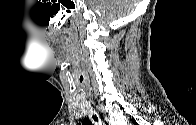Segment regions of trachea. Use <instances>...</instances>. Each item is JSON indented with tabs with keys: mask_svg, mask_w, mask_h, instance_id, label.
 Wrapping results in <instances>:
<instances>
[{
	"mask_svg": "<svg viewBox=\"0 0 196 125\" xmlns=\"http://www.w3.org/2000/svg\"><path fill=\"white\" fill-rule=\"evenodd\" d=\"M92 117H93L94 121H98V118L96 115H93Z\"/></svg>",
	"mask_w": 196,
	"mask_h": 125,
	"instance_id": "trachea-1",
	"label": "trachea"
}]
</instances>
